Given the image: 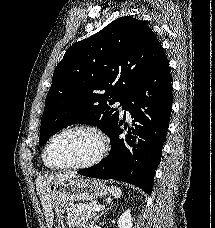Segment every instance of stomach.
<instances>
[{
	"mask_svg": "<svg viewBox=\"0 0 215 228\" xmlns=\"http://www.w3.org/2000/svg\"><path fill=\"white\" fill-rule=\"evenodd\" d=\"M52 214L55 218L53 228H65V214L67 202H83V200H97L108 194L104 182L100 180H61L58 184L50 186Z\"/></svg>",
	"mask_w": 215,
	"mask_h": 228,
	"instance_id": "stomach-1",
	"label": "stomach"
}]
</instances>
